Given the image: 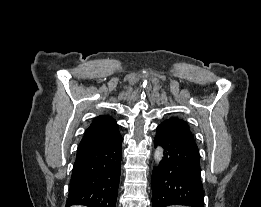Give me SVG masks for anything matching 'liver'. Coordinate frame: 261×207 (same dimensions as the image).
Masks as SVG:
<instances>
[{
	"instance_id": "liver-1",
	"label": "liver",
	"mask_w": 261,
	"mask_h": 207,
	"mask_svg": "<svg viewBox=\"0 0 261 207\" xmlns=\"http://www.w3.org/2000/svg\"><path fill=\"white\" fill-rule=\"evenodd\" d=\"M73 207H83V206H73Z\"/></svg>"
}]
</instances>
